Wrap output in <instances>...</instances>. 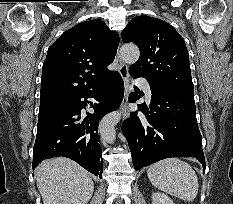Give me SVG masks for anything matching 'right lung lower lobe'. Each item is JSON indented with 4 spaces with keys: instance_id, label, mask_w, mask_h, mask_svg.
Returning <instances> with one entry per match:
<instances>
[{
    "instance_id": "1",
    "label": "right lung lower lobe",
    "mask_w": 233,
    "mask_h": 204,
    "mask_svg": "<svg viewBox=\"0 0 233 204\" xmlns=\"http://www.w3.org/2000/svg\"><path fill=\"white\" fill-rule=\"evenodd\" d=\"M123 95L122 78L114 71L96 88L73 96L67 107L38 122L33 147V169L45 159L64 156L102 178L103 160L98 123L104 115L119 107ZM87 98H94L97 103H90L94 113H87L83 117L81 110L89 103Z\"/></svg>"
}]
</instances>
